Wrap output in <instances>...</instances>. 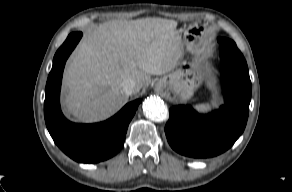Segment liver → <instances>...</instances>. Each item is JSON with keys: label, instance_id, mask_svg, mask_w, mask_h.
<instances>
[{"label": "liver", "instance_id": "1", "mask_svg": "<svg viewBox=\"0 0 292 192\" xmlns=\"http://www.w3.org/2000/svg\"><path fill=\"white\" fill-rule=\"evenodd\" d=\"M175 20L143 18L103 23L88 33L64 73V106L82 122L108 117L128 100L122 82L131 78L135 91L151 75L175 69L184 44Z\"/></svg>", "mask_w": 292, "mask_h": 192}]
</instances>
